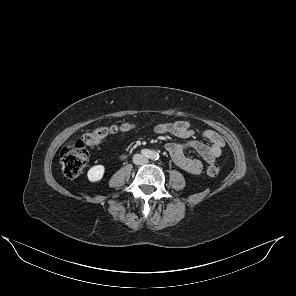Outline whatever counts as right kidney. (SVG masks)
<instances>
[{
  "label": "right kidney",
  "mask_w": 296,
  "mask_h": 296,
  "mask_svg": "<svg viewBox=\"0 0 296 296\" xmlns=\"http://www.w3.org/2000/svg\"><path fill=\"white\" fill-rule=\"evenodd\" d=\"M105 172V167L103 165H96L89 169L87 173L88 180L90 182H99Z\"/></svg>",
  "instance_id": "obj_1"
}]
</instances>
